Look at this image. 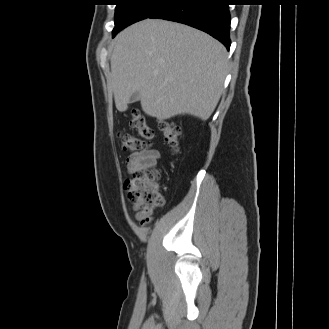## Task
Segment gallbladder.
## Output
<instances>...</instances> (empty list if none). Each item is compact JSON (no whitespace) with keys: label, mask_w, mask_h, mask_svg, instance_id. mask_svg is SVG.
I'll list each match as a JSON object with an SVG mask.
<instances>
[{"label":"gallbladder","mask_w":329,"mask_h":329,"mask_svg":"<svg viewBox=\"0 0 329 329\" xmlns=\"http://www.w3.org/2000/svg\"><path fill=\"white\" fill-rule=\"evenodd\" d=\"M140 99V94L138 91L134 92L130 97V103L137 102Z\"/></svg>","instance_id":"gallbladder-1"}]
</instances>
